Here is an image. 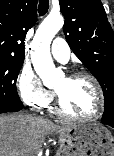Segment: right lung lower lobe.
<instances>
[{
  "label": "right lung lower lobe",
  "instance_id": "98d812e1",
  "mask_svg": "<svg viewBox=\"0 0 114 156\" xmlns=\"http://www.w3.org/2000/svg\"><path fill=\"white\" fill-rule=\"evenodd\" d=\"M22 108L23 106L16 107V106H11V105L0 104V113L15 112V111L21 110Z\"/></svg>",
  "mask_w": 114,
  "mask_h": 156
}]
</instances>
